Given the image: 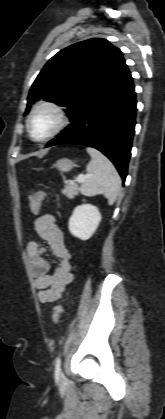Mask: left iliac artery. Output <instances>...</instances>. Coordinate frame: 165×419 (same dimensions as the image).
<instances>
[{
  "instance_id": "1",
  "label": "left iliac artery",
  "mask_w": 165,
  "mask_h": 419,
  "mask_svg": "<svg viewBox=\"0 0 165 419\" xmlns=\"http://www.w3.org/2000/svg\"><path fill=\"white\" fill-rule=\"evenodd\" d=\"M60 365H61V359H60V357H58L57 360H56V364H55V376L56 377H58L60 375V372H61Z\"/></svg>"
}]
</instances>
